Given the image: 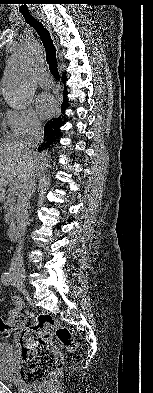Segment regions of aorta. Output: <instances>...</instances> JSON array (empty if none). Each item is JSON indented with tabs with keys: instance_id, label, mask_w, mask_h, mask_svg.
<instances>
[{
	"instance_id": "762f6f07",
	"label": "aorta",
	"mask_w": 153,
	"mask_h": 393,
	"mask_svg": "<svg viewBox=\"0 0 153 393\" xmlns=\"http://www.w3.org/2000/svg\"><path fill=\"white\" fill-rule=\"evenodd\" d=\"M41 57V48L33 39L22 41L8 58L6 74L2 81V94L13 109L26 108L35 93L34 76ZM39 166L43 172L50 167L51 154L43 150L38 155Z\"/></svg>"
}]
</instances>
